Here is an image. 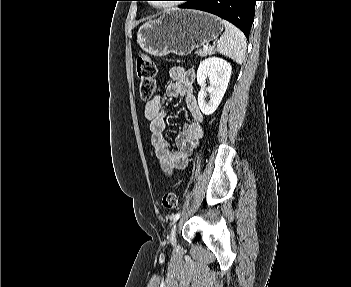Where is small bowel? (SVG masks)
<instances>
[{"instance_id":"obj_1","label":"small bowel","mask_w":351,"mask_h":287,"mask_svg":"<svg viewBox=\"0 0 351 287\" xmlns=\"http://www.w3.org/2000/svg\"><path fill=\"white\" fill-rule=\"evenodd\" d=\"M169 75L171 82L166 85L165 94L172 98H183L192 118L175 138L173 147L164 136L167 110L161 102V97L155 96L146 103L144 109L155 155L161 168L168 174L187 166L191 153L202 136L204 121V115L194 94V72L177 66L170 69Z\"/></svg>"}]
</instances>
